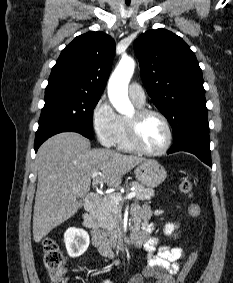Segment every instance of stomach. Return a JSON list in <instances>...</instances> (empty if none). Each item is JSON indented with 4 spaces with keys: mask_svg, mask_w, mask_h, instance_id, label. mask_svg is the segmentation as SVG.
<instances>
[{
    "mask_svg": "<svg viewBox=\"0 0 233 283\" xmlns=\"http://www.w3.org/2000/svg\"><path fill=\"white\" fill-rule=\"evenodd\" d=\"M135 175L141 184L149 188H154L166 179L167 172L156 160L149 159L136 167Z\"/></svg>",
    "mask_w": 233,
    "mask_h": 283,
    "instance_id": "0dacf381",
    "label": "stomach"
}]
</instances>
